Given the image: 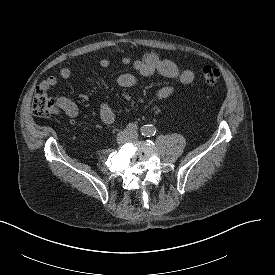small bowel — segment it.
Segmentation results:
<instances>
[{
    "label": "small bowel",
    "instance_id": "obj_1",
    "mask_svg": "<svg viewBox=\"0 0 275 275\" xmlns=\"http://www.w3.org/2000/svg\"><path fill=\"white\" fill-rule=\"evenodd\" d=\"M123 65H132L134 73H121L115 78V82L120 87L129 88L136 84L138 77H149L154 74H159L163 77L176 79L182 84H190L194 81V73L191 70L181 69L174 62L161 59L157 54L148 53L144 57L131 60L128 56L121 58ZM99 64L103 68H107L110 65L109 58H101ZM72 70L68 67L62 68L57 75L49 76L45 81L41 83L44 89L56 85L61 80H67L71 77ZM174 89L171 85L161 86L156 96L158 99H167L173 93ZM54 114H64L70 119H74L78 116L79 110L77 105L66 97H60L57 99L56 109ZM99 114L102 122L106 125H112L115 122V114L107 102H102L99 106Z\"/></svg>",
    "mask_w": 275,
    "mask_h": 275
}]
</instances>
